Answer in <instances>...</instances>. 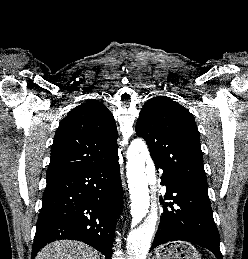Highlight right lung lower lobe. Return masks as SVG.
I'll return each mask as SVG.
<instances>
[{
	"instance_id": "obj_1",
	"label": "right lung lower lobe",
	"mask_w": 248,
	"mask_h": 259,
	"mask_svg": "<svg viewBox=\"0 0 248 259\" xmlns=\"http://www.w3.org/2000/svg\"><path fill=\"white\" fill-rule=\"evenodd\" d=\"M123 209L118 155L47 177L32 259L55 240L82 241L111 259L116 219Z\"/></svg>"
}]
</instances>
